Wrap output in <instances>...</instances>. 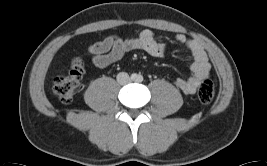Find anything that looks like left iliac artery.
Masks as SVG:
<instances>
[{
  "label": "left iliac artery",
  "instance_id": "obj_1",
  "mask_svg": "<svg viewBox=\"0 0 267 166\" xmlns=\"http://www.w3.org/2000/svg\"><path fill=\"white\" fill-rule=\"evenodd\" d=\"M137 81L138 82H142L143 81V77L141 75H139L138 78H137Z\"/></svg>",
  "mask_w": 267,
  "mask_h": 166
}]
</instances>
